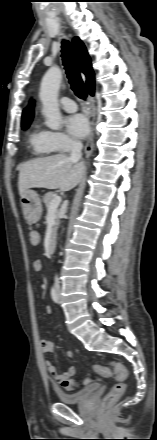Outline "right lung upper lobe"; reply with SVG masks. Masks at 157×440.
I'll use <instances>...</instances> for the list:
<instances>
[{
	"instance_id": "obj_1",
	"label": "right lung upper lobe",
	"mask_w": 157,
	"mask_h": 440,
	"mask_svg": "<svg viewBox=\"0 0 157 440\" xmlns=\"http://www.w3.org/2000/svg\"><path fill=\"white\" fill-rule=\"evenodd\" d=\"M73 46H74V50H75V54L79 63V66L82 70V72L86 75L87 77V86L88 89L91 93V95H93L94 93V73L91 67V61L89 58V55L87 53V50L83 44V42L78 38L75 37L73 39ZM33 102L30 103V105L24 109L23 111V115H22V123H27V122H31L32 118H33Z\"/></svg>"
}]
</instances>
